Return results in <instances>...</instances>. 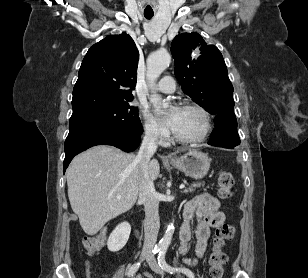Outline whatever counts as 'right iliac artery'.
<instances>
[{"label":"right iliac artery","mask_w":308,"mask_h":278,"mask_svg":"<svg viewBox=\"0 0 308 278\" xmlns=\"http://www.w3.org/2000/svg\"><path fill=\"white\" fill-rule=\"evenodd\" d=\"M160 250H161V247L155 246L154 249L152 250V254L154 255V254L158 253ZM140 265H141V262H137V263L133 264L129 268L127 275L133 276L138 271Z\"/></svg>","instance_id":"1"}]
</instances>
